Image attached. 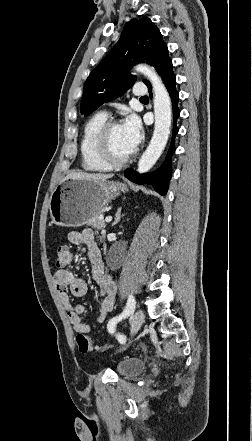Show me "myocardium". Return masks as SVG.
<instances>
[{"instance_id":"obj_1","label":"myocardium","mask_w":252,"mask_h":441,"mask_svg":"<svg viewBox=\"0 0 252 441\" xmlns=\"http://www.w3.org/2000/svg\"><path fill=\"white\" fill-rule=\"evenodd\" d=\"M121 125L117 120H107L97 131L94 137V152L96 156L109 168H122L133 156V153L122 159H114L109 152L108 136L111 130Z\"/></svg>"}]
</instances>
